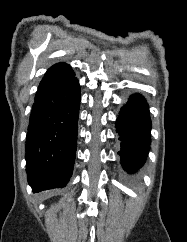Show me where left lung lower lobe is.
I'll return each instance as SVG.
<instances>
[{"instance_id":"0a47b994","label":"left lung lower lobe","mask_w":187,"mask_h":242,"mask_svg":"<svg viewBox=\"0 0 187 242\" xmlns=\"http://www.w3.org/2000/svg\"><path fill=\"white\" fill-rule=\"evenodd\" d=\"M116 130L120 140L121 165L128 173L137 172L145 163L151 143V119L146 100L132 94L119 112Z\"/></svg>"}]
</instances>
